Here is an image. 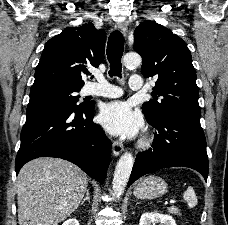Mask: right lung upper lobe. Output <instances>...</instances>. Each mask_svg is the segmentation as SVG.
<instances>
[{
  "label": "right lung upper lobe",
  "instance_id": "cb5924a9",
  "mask_svg": "<svg viewBox=\"0 0 228 225\" xmlns=\"http://www.w3.org/2000/svg\"><path fill=\"white\" fill-rule=\"evenodd\" d=\"M105 41V32L92 22L65 28L45 44L33 86L62 83L81 88V74H88L86 67H98L104 60Z\"/></svg>",
  "mask_w": 228,
  "mask_h": 225
}]
</instances>
